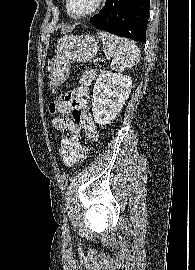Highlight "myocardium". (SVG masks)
I'll return each instance as SVG.
<instances>
[{
	"instance_id": "1",
	"label": "myocardium",
	"mask_w": 195,
	"mask_h": 270,
	"mask_svg": "<svg viewBox=\"0 0 195 270\" xmlns=\"http://www.w3.org/2000/svg\"><path fill=\"white\" fill-rule=\"evenodd\" d=\"M105 0H97L95 6L87 13L84 14H76L71 10L70 7V0H65V6L67 9V12L69 13V15L75 19H85V18H89L92 15H94L96 12H98L100 10V8L102 7L103 3Z\"/></svg>"
}]
</instances>
